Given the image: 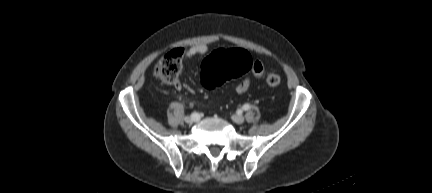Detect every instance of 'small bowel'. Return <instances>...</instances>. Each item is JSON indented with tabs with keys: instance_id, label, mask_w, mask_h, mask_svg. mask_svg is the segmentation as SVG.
Wrapping results in <instances>:
<instances>
[{
	"instance_id": "c3829d8e",
	"label": "small bowel",
	"mask_w": 432,
	"mask_h": 193,
	"mask_svg": "<svg viewBox=\"0 0 432 193\" xmlns=\"http://www.w3.org/2000/svg\"><path fill=\"white\" fill-rule=\"evenodd\" d=\"M207 51H208V46L206 44H197L187 49L185 51V56L186 58L191 59L197 56L204 55L205 53H207ZM250 74L256 78L262 77L264 74L263 64L260 61L254 60ZM249 86H250V79L245 78L237 84L235 90L238 93H245L248 90ZM175 87L177 89H180L181 84L177 82L175 84Z\"/></svg>"
}]
</instances>
